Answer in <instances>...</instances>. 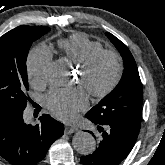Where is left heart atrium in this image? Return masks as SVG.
Wrapping results in <instances>:
<instances>
[{
  "mask_svg": "<svg viewBox=\"0 0 165 165\" xmlns=\"http://www.w3.org/2000/svg\"><path fill=\"white\" fill-rule=\"evenodd\" d=\"M45 104L57 117L71 120L87 106V95L82 89H54L46 96Z\"/></svg>",
  "mask_w": 165,
  "mask_h": 165,
  "instance_id": "obj_1",
  "label": "left heart atrium"
}]
</instances>
